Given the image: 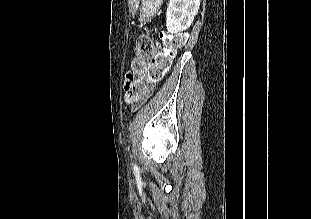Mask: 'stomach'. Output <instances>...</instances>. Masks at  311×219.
<instances>
[{"label":"stomach","instance_id":"stomach-1","mask_svg":"<svg viewBox=\"0 0 311 219\" xmlns=\"http://www.w3.org/2000/svg\"><path fill=\"white\" fill-rule=\"evenodd\" d=\"M162 0H142L141 14L139 21L142 24L149 22L158 11Z\"/></svg>","mask_w":311,"mask_h":219}]
</instances>
